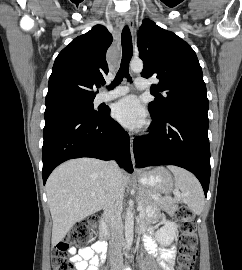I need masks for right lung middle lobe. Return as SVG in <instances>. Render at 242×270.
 Instances as JSON below:
<instances>
[{"mask_svg":"<svg viewBox=\"0 0 242 270\" xmlns=\"http://www.w3.org/2000/svg\"><path fill=\"white\" fill-rule=\"evenodd\" d=\"M93 100H83V101H70V102H64V103H59V104H55V105H51V106H46V110H45V114L54 112V111H58V110H62V109H67V108H72V107H81L82 109H84L85 111H87L90 114L93 115H100L102 113L105 112V110H100V111H96L93 108Z\"/></svg>","mask_w":242,"mask_h":270,"instance_id":"dd1d6c3e","label":"right lung middle lobe"}]
</instances>
